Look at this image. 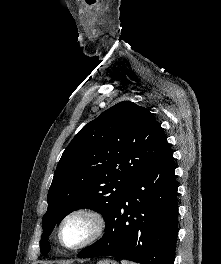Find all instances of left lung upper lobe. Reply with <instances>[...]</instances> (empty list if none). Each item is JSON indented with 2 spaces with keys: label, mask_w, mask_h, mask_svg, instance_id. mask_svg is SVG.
I'll list each match as a JSON object with an SVG mask.
<instances>
[{
  "label": "left lung upper lobe",
  "mask_w": 221,
  "mask_h": 264,
  "mask_svg": "<svg viewBox=\"0 0 221 264\" xmlns=\"http://www.w3.org/2000/svg\"><path fill=\"white\" fill-rule=\"evenodd\" d=\"M167 137L152 113L120 102L86 124L62 154L42 219V255L48 238L70 212L90 208L106 220L129 185L159 157Z\"/></svg>",
  "instance_id": "left-lung-upper-lobe-1"
}]
</instances>
